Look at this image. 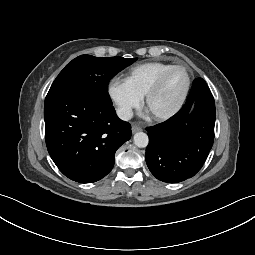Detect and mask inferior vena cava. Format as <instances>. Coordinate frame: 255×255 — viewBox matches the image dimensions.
<instances>
[{"label":"inferior vena cava","mask_w":255,"mask_h":255,"mask_svg":"<svg viewBox=\"0 0 255 255\" xmlns=\"http://www.w3.org/2000/svg\"><path fill=\"white\" fill-rule=\"evenodd\" d=\"M117 116L124 121H128L133 117V112L127 108H119L117 109Z\"/></svg>","instance_id":"inferior-vena-cava-1"}]
</instances>
